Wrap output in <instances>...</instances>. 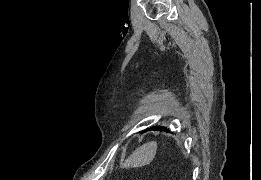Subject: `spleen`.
Listing matches in <instances>:
<instances>
[{
    "instance_id": "spleen-1",
    "label": "spleen",
    "mask_w": 261,
    "mask_h": 180,
    "mask_svg": "<svg viewBox=\"0 0 261 180\" xmlns=\"http://www.w3.org/2000/svg\"><path fill=\"white\" fill-rule=\"evenodd\" d=\"M157 148V142H147V144L139 146L123 162L122 168L128 170V168H142V166H147V164H150L154 160Z\"/></svg>"
}]
</instances>
